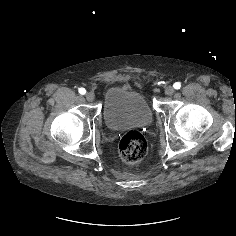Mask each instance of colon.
Here are the masks:
<instances>
[{
	"instance_id": "1",
	"label": "colon",
	"mask_w": 236,
	"mask_h": 236,
	"mask_svg": "<svg viewBox=\"0 0 236 236\" xmlns=\"http://www.w3.org/2000/svg\"><path fill=\"white\" fill-rule=\"evenodd\" d=\"M148 145L144 135L139 130H130L120 139L119 155L127 163H137L147 153Z\"/></svg>"
}]
</instances>
